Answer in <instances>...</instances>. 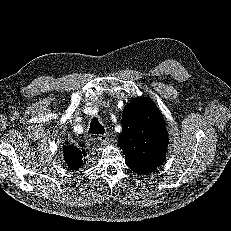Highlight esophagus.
<instances>
[{"mask_svg": "<svg viewBox=\"0 0 231 231\" xmlns=\"http://www.w3.org/2000/svg\"><path fill=\"white\" fill-rule=\"evenodd\" d=\"M109 139H110V136L108 133L106 134H101L98 136V141L101 143V144H107L109 142Z\"/></svg>", "mask_w": 231, "mask_h": 231, "instance_id": "1", "label": "esophagus"}]
</instances>
